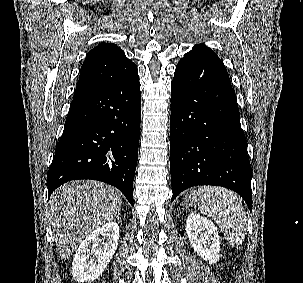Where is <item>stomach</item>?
<instances>
[{"label": "stomach", "mask_w": 303, "mask_h": 283, "mask_svg": "<svg viewBox=\"0 0 303 283\" xmlns=\"http://www.w3.org/2000/svg\"><path fill=\"white\" fill-rule=\"evenodd\" d=\"M199 197L197 196L196 193H190L187 196H185L184 201L186 205H191L193 204Z\"/></svg>", "instance_id": "0dacf381"}]
</instances>
